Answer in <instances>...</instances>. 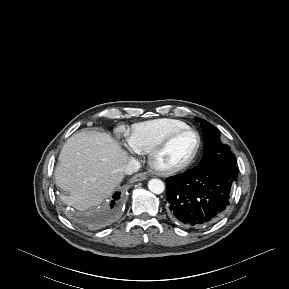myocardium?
Segmentation results:
<instances>
[{
  "label": "myocardium",
  "instance_id": "myocardium-1",
  "mask_svg": "<svg viewBox=\"0 0 289 289\" xmlns=\"http://www.w3.org/2000/svg\"><path fill=\"white\" fill-rule=\"evenodd\" d=\"M185 132H192L197 136V146L193 154L184 162L180 164H176L173 166H161L158 164V156L165 150V148L172 142V140L177 137L178 135L185 133ZM202 148V137L200 133L192 128V127H185L181 129H177L166 135L161 141H159L149 152V164L154 171L162 175H171L177 172H180L186 168H188L198 157Z\"/></svg>",
  "mask_w": 289,
  "mask_h": 289
}]
</instances>
